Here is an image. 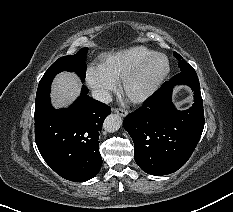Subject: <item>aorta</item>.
<instances>
[{
  "label": "aorta",
  "mask_w": 233,
  "mask_h": 212,
  "mask_svg": "<svg viewBox=\"0 0 233 212\" xmlns=\"http://www.w3.org/2000/svg\"><path fill=\"white\" fill-rule=\"evenodd\" d=\"M122 125V118L117 114H110L103 123V128L107 132H115Z\"/></svg>",
  "instance_id": "aorta-1"
}]
</instances>
